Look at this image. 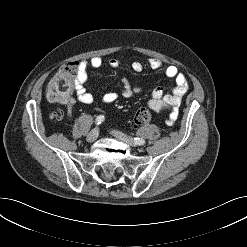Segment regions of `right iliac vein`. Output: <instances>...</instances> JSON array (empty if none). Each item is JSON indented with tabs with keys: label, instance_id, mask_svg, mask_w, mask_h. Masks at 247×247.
<instances>
[{
	"label": "right iliac vein",
	"instance_id": "63e3f726",
	"mask_svg": "<svg viewBox=\"0 0 247 247\" xmlns=\"http://www.w3.org/2000/svg\"><path fill=\"white\" fill-rule=\"evenodd\" d=\"M99 135V130L98 128L93 129L88 135H87V141L88 142H94Z\"/></svg>",
	"mask_w": 247,
	"mask_h": 247
}]
</instances>
